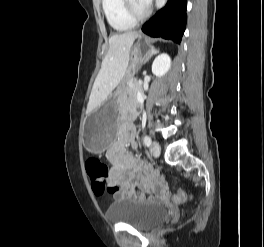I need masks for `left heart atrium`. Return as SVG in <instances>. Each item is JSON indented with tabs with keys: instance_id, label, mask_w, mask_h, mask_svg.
Wrapping results in <instances>:
<instances>
[{
	"instance_id": "39dd6f15",
	"label": "left heart atrium",
	"mask_w": 264,
	"mask_h": 247,
	"mask_svg": "<svg viewBox=\"0 0 264 247\" xmlns=\"http://www.w3.org/2000/svg\"><path fill=\"white\" fill-rule=\"evenodd\" d=\"M150 1L151 0H139V2L146 7L149 5Z\"/></svg>"
}]
</instances>
